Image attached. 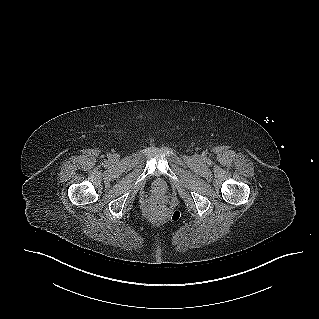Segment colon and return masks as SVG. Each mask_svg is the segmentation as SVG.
I'll list each match as a JSON object with an SVG mask.
<instances>
[{
  "label": "colon",
  "mask_w": 319,
  "mask_h": 319,
  "mask_svg": "<svg viewBox=\"0 0 319 319\" xmlns=\"http://www.w3.org/2000/svg\"><path fill=\"white\" fill-rule=\"evenodd\" d=\"M155 210L159 212H167L168 209L163 203H156L155 204Z\"/></svg>",
  "instance_id": "obj_1"
}]
</instances>
